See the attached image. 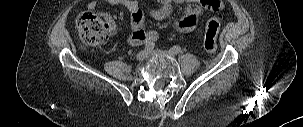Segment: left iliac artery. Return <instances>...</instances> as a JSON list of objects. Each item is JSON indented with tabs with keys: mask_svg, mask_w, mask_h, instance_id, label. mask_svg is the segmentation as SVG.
Wrapping results in <instances>:
<instances>
[{
	"mask_svg": "<svg viewBox=\"0 0 303 127\" xmlns=\"http://www.w3.org/2000/svg\"><path fill=\"white\" fill-rule=\"evenodd\" d=\"M170 51L174 54H179L181 52V47L176 45V46H173Z\"/></svg>",
	"mask_w": 303,
	"mask_h": 127,
	"instance_id": "obj_1",
	"label": "left iliac artery"
}]
</instances>
